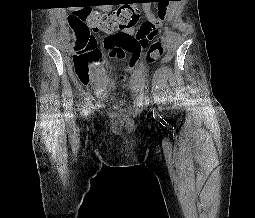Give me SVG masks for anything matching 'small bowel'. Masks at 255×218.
Wrapping results in <instances>:
<instances>
[{
  "instance_id": "obj_1",
  "label": "small bowel",
  "mask_w": 255,
  "mask_h": 218,
  "mask_svg": "<svg viewBox=\"0 0 255 218\" xmlns=\"http://www.w3.org/2000/svg\"><path fill=\"white\" fill-rule=\"evenodd\" d=\"M145 12H146V15H147L148 20L151 21L153 24L158 25V24L160 23V21H161L162 19H164V17H165V14H166V7H164V6H160V7H159V16H158V17H156L155 15H153V14L150 12L149 8H147V7H145ZM137 28H138V27H134V28L128 29L127 32L130 33V34H134V33L136 32ZM112 35H113V34H109V35H107V36L104 38V40H103V42H102V46H103V47L106 48V40H107L108 38H110Z\"/></svg>"
}]
</instances>
